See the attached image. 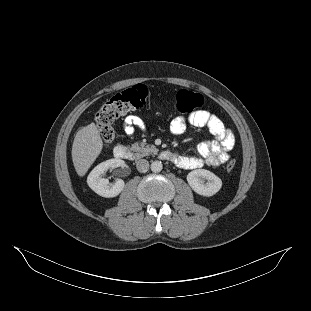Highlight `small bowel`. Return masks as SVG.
Listing matches in <instances>:
<instances>
[{
  "label": "small bowel",
  "mask_w": 311,
  "mask_h": 311,
  "mask_svg": "<svg viewBox=\"0 0 311 311\" xmlns=\"http://www.w3.org/2000/svg\"><path fill=\"white\" fill-rule=\"evenodd\" d=\"M207 128L214 140L200 143L196 147V156H175L174 163L183 169H197L204 165L217 167L229 159V152L235 144L232 131L224 126L222 121L214 114L206 110H198L188 117L178 116L174 118L169 130L174 135L182 134L187 125ZM144 128L143 120L135 115H129L124 119V131L127 136H133L135 129Z\"/></svg>",
  "instance_id": "small-bowel-1"
}]
</instances>
